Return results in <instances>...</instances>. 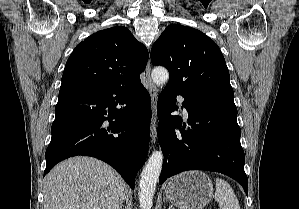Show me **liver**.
I'll return each instance as SVG.
<instances>
[{
	"instance_id": "liver-1",
	"label": "liver",
	"mask_w": 299,
	"mask_h": 209,
	"mask_svg": "<svg viewBox=\"0 0 299 209\" xmlns=\"http://www.w3.org/2000/svg\"><path fill=\"white\" fill-rule=\"evenodd\" d=\"M125 193L126 183L112 167L76 156L46 176L44 209H120Z\"/></svg>"
}]
</instances>
